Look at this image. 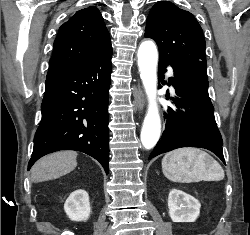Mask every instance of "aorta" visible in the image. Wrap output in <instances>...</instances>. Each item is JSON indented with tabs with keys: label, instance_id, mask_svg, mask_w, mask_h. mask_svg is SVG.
Wrapping results in <instances>:
<instances>
[{
	"label": "aorta",
	"instance_id": "obj_1",
	"mask_svg": "<svg viewBox=\"0 0 250 235\" xmlns=\"http://www.w3.org/2000/svg\"><path fill=\"white\" fill-rule=\"evenodd\" d=\"M158 52L152 41H144L138 49V66L146 94L149 98L148 113L144 119L141 142L146 149L153 148L159 140L161 121L155 101L157 89Z\"/></svg>",
	"mask_w": 250,
	"mask_h": 235
}]
</instances>
